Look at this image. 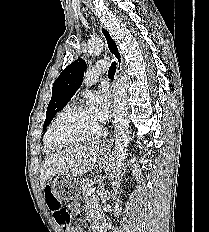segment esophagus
<instances>
[{
  "label": "esophagus",
  "instance_id": "34e87169",
  "mask_svg": "<svg viewBox=\"0 0 209 232\" xmlns=\"http://www.w3.org/2000/svg\"><path fill=\"white\" fill-rule=\"evenodd\" d=\"M99 30L105 40L109 53L113 56V58L117 63L116 76H118L122 70V64H123L122 53L119 48V45L117 41L114 39V37L112 36L111 32L105 26L100 25Z\"/></svg>",
  "mask_w": 209,
  "mask_h": 232
}]
</instances>
